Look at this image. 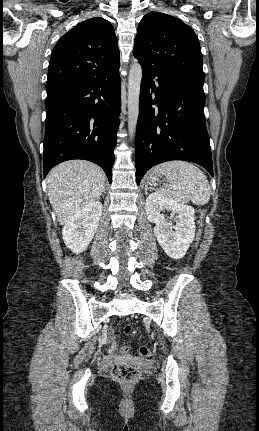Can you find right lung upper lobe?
I'll return each mask as SVG.
<instances>
[{"label": "right lung upper lobe", "instance_id": "obj_1", "mask_svg": "<svg viewBox=\"0 0 259 431\" xmlns=\"http://www.w3.org/2000/svg\"><path fill=\"white\" fill-rule=\"evenodd\" d=\"M117 37L111 23L95 17L85 20L56 43L49 63L46 90L105 78L119 71Z\"/></svg>", "mask_w": 259, "mask_h": 431}]
</instances>
